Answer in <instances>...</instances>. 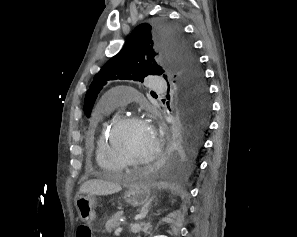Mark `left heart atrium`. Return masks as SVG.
I'll list each match as a JSON object with an SVG mask.
<instances>
[{"label": "left heart atrium", "mask_w": 297, "mask_h": 237, "mask_svg": "<svg viewBox=\"0 0 297 237\" xmlns=\"http://www.w3.org/2000/svg\"><path fill=\"white\" fill-rule=\"evenodd\" d=\"M150 128H151L152 132H153V133H154V135H155L154 129H153L152 127H150Z\"/></svg>", "instance_id": "39dd6f15"}]
</instances>
